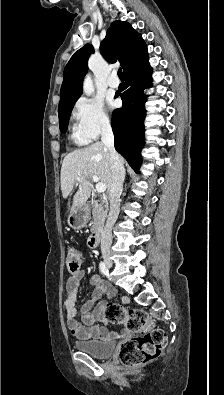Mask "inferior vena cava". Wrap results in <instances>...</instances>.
<instances>
[{
	"mask_svg": "<svg viewBox=\"0 0 224 395\" xmlns=\"http://www.w3.org/2000/svg\"><path fill=\"white\" fill-rule=\"evenodd\" d=\"M101 141L108 148L112 172V182L109 189L110 210L101 235V252L107 254L112 245V228L120 211V196L123 190L125 169L120 155L114 147V135L109 121L102 123Z\"/></svg>",
	"mask_w": 224,
	"mask_h": 395,
	"instance_id": "1",
	"label": "inferior vena cava"
}]
</instances>
